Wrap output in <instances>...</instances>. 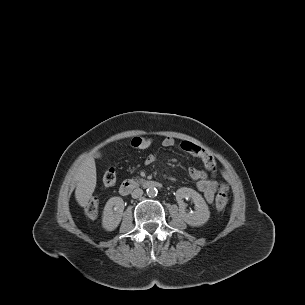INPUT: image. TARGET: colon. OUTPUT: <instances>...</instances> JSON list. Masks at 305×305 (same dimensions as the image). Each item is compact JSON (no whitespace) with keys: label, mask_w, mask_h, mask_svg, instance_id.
Segmentation results:
<instances>
[{"label":"colon","mask_w":305,"mask_h":305,"mask_svg":"<svg viewBox=\"0 0 305 305\" xmlns=\"http://www.w3.org/2000/svg\"><path fill=\"white\" fill-rule=\"evenodd\" d=\"M152 144V139L149 137H135L131 141V145L136 150H145ZM117 180V174L114 169H109L103 176L102 182L105 187H111L115 185ZM228 200V188L226 184L219 185L218 193L215 198V208L217 211H222ZM87 217L95 219L99 213V202L97 198H92L85 208Z\"/></svg>","instance_id":"5ec220e1"}]
</instances>
